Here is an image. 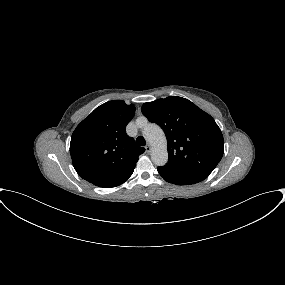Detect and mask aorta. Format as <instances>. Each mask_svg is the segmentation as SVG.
Masks as SVG:
<instances>
[{"label":"aorta","instance_id":"obj_1","mask_svg":"<svg viewBox=\"0 0 285 285\" xmlns=\"http://www.w3.org/2000/svg\"><path fill=\"white\" fill-rule=\"evenodd\" d=\"M140 121L138 120V124ZM142 134L151 144V159L157 166H163L168 161L167 140L163 130L155 123H146Z\"/></svg>","mask_w":285,"mask_h":285}]
</instances>
